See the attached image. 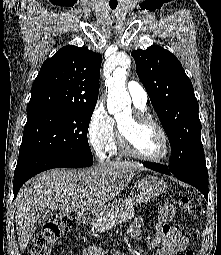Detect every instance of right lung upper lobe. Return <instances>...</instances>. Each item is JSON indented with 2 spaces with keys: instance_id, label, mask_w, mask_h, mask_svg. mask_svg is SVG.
<instances>
[{
  "instance_id": "right-lung-upper-lobe-1",
  "label": "right lung upper lobe",
  "mask_w": 221,
  "mask_h": 255,
  "mask_svg": "<svg viewBox=\"0 0 221 255\" xmlns=\"http://www.w3.org/2000/svg\"><path fill=\"white\" fill-rule=\"evenodd\" d=\"M102 56L65 46L47 59L32 85L27 112L50 108H93L99 92Z\"/></svg>"
}]
</instances>
